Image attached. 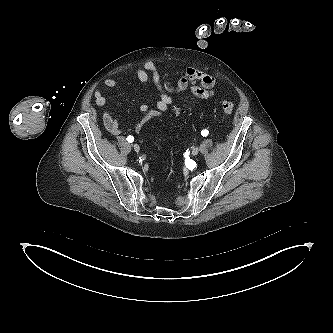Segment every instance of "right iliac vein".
<instances>
[{
    "label": "right iliac vein",
    "mask_w": 333,
    "mask_h": 333,
    "mask_svg": "<svg viewBox=\"0 0 333 333\" xmlns=\"http://www.w3.org/2000/svg\"><path fill=\"white\" fill-rule=\"evenodd\" d=\"M133 148H134V150H135L136 152H139V151H140V147H139L138 144H134V145H133Z\"/></svg>",
    "instance_id": "63e3f726"
}]
</instances>
